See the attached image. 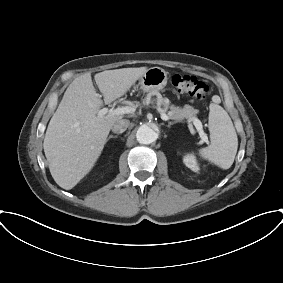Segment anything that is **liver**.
I'll return each mask as SVG.
<instances>
[{"mask_svg": "<svg viewBox=\"0 0 283 283\" xmlns=\"http://www.w3.org/2000/svg\"><path fill=\"white\" fill-rule=\"evenodd\" d=\"M147 67L106 70L95 82L110 104L125 95L145 74ZM90 73L75 78L53 114L44 138V152L54 181L70 190L93 168L112 126L122 115H98L103 105Z\"/></svg>", "mask_w": 283, "mask_h": 283, "instance_id": "6515ba94", "label": "liver"}]
</instances>
